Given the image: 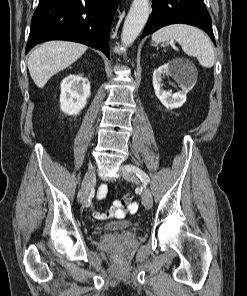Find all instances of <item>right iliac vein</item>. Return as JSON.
I'll list each match as a JSON object with an SVG mask.
<instances>
[{"label": "right iliac vein", "mask_w": 247, "mask_h": 296, "mask_svg": "<svg viewBox=\"0 0 247 296\" xmlns=\"http://www.w3.org/2000/svg\"><path fill=\"white\" fill-rule=\"evenodd\" d=\"M95 182V169L91 168L85 175L82 187H83V193L81 196V203L83 205H86L89 201L91 190L93 188Z\"/></svg>", "instance_id": "right-iliac-vein-1"}]
</instances>
